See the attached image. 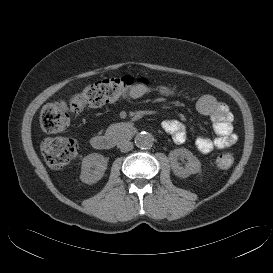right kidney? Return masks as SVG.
<instances>
[{"instance_id": "ca27d5eb", "label": "right kidney", "mask_w": 273, "mask_h": 273, "mask_svg": "<svg viewBox=\"0 0 273 273\" xmlns=\"http://www.w3.org/2000/svg\"><path fill=\"white\" fill-rule=\"evenodd\" d=\"M106 168L107 160L103 155L89 154L82 160L80 179L86 184H94L103 177Z\"/></svg>"}]
</instances>
